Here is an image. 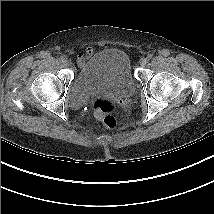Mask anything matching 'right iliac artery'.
<instances>
[{
	"label": "right iliac artery",
	"mask_w": 214,
	"mask_h": 214,
	"mask_svg": "<svg viewBox=\"0 0 214 214\" xmlns=\"http://www.w3.org/2000/svg\"><path fill=\"white\" fill-rule=\"evenodd\" d=\"M64 60H65L64 57H60V58H59V61L62 62V63L64 62Z\"/></svg>",
	"instance_id": "82829eb1"
}]
</instances>
